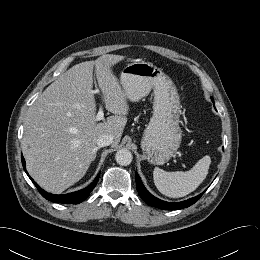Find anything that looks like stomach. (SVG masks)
<instances>
[{"instance_id": "0dacf381", "label": "stomach", "mask_w": 260, "mask_h": 260, "mask_svg": "<svg viewBox=\"0 0 260 260\" xmlns=\"http://www.w3.org/2000/svg\"><path fill=\"white\" fill-rule=\"evenodd\" d=\"M126 97L133 102L154 93L153 116L145 129L141 148L147 160L163 165L180 147V97L172 79L149 62L128 64L120 76Z\"/></svg>"}]
</instances>
